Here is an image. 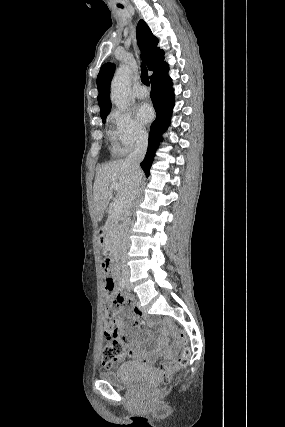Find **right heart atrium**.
Returning <instances> with one entry per match:
<instances>
[{"label": "right heart atrium", "instance_id": "d8ad5b80", "mask_svg": "<svg viewBox=\"0 0 285 427\" xmlns=\"http://www.w3.org/2000/svg\"><path fill=\"white\" fill-rule=\"evenodd\" d=\"M109 121L113 128L110 136L115 140V150L124 154L133 148L142 145L146 141L144 128L134 119L130 112L125 110H114Z\"/></svg>", "mask_w": 285, "mask_h": 427}]
</instances>
